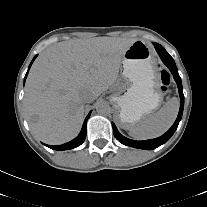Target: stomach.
<instances>
[{
    "mask_svg": "<svg viewBox=\"0 0 207 207\" xmlns=\"http://www.w3.org/2000/svg\"><path fill=\"white\" fill-rule=\"evenodd\" d=\"M157 85L153 52L137 40L123 55L121 78L111 96L115 120L121 128L130 129L157 109L162 101Z\"/></svg>",
    "mask_w": 207,
    "mask_h": 207,
    "instance_id": "stomach-1",
    "label": "stomach"
}]
</instances>
